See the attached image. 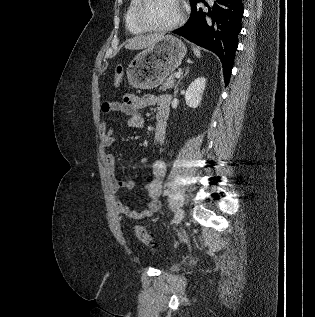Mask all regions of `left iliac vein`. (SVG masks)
I'll return each instance as SVG.
<instances>
[{"label": "left iliac vein", "instance_id": "4c4485c4", "mask_svg": "<svg viewBox=\"0 0 315 317\" xmlns=\"http://www.w3.org/2000/svg\"><path fill=\"white\" fill-rule=\"evenodd\" d=\"M184 217V210L182 208H178L175 212L173 223L174 225H178L181 223L182 219Z\"/></svg>", "mask_w": 315, "mask_h": 317}]
</instances>
